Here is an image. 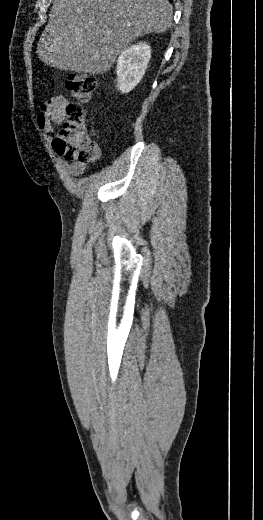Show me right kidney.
<instances>
[{"instance_id":"ca27d5eb","label":"right kidney","mask_w":263,"mask_h":520,"mask_svg":"<svg viewBox=\"0 0 263 520\" xmlns=\"http://www.w3.org/2000/svg\"><path fill=\"white\" fill-rule=\"evenodd\" d=\"M151 58V48L146 43L132 45L121 52L117 60V88L129 93L143 78Z\"/></svg>"}]
</instances>
